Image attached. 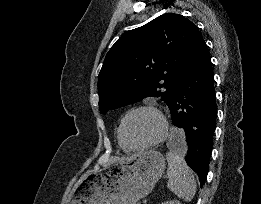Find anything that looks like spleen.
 <instances>
[{
    "instance_id": "1",
    "label": "spleen",
    "mask_w": 261,
    "mask_h": 204,
    "mask_svg": "<svg viewBox=\"0 0 261 204\" xmlns=\"http://www.w3.org/2000/svg\"><path fill=\"white\" fill-rule=\"evenodd\" d=\"M166 159L168 162L167 187L184 201H191L196 193V181L193 172L174 151L168 152Z\"/></svg>"
}]
</instances>
